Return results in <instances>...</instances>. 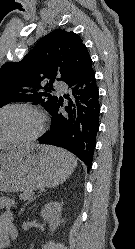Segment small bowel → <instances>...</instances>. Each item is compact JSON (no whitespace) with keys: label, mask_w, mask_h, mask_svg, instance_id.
I'll return each instance as SVG.
<instances>
[{"label":"small bowel","mask_w":135,"mask_h":249,"mask_svg":"<svg viewBox=\"0 0 135 249\" xmlns=\"http://www.w3.org/2000/svg\"><path fill=\"white\" fill-rule=\"evenodd\" d=\"M13 201L4 196H0V209H5L0 214V247H5L10 240L17 237V230L13 223V215L10 211Z\"/></svg>","instance_id":"obj_1"}]
</instances>
